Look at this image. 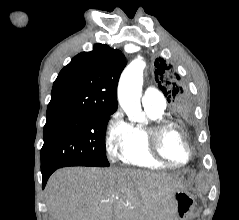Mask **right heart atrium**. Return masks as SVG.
<instances>
[{"label":"right heart atrium","mask_w":239,"mask_h":220,"mask_svg":"<svg viewBox=\"0 0 239 220\" xmlns=\"http://www.w3.org/2000/svg\"><path fill=\"white\" fill-rule=\"evenodd\" d=\"M131 126L120 109L114 110L107 121L104 134L106 151L111 158H118L119 151L129 139Z\"/></svg>","instance_id":"1"}]
</instances>
